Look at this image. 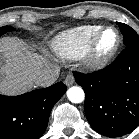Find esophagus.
<instances>
[{
    "mask_svg": "<svg viewBox=\"0 0 139 139\" xmlns=\"http://www.w3.org/2000/svg\"><path fill=\"white\" fill-rule=\"evenodd\" d=\"M74 83V76L72 74H68L65 78V84L67 86H71Z\"/></svg>",
    "mask_w": 139,
    "mask_h": 139,
    "instance_id": "obj_1",
    "label": "esophagus"
}]
</instances>
